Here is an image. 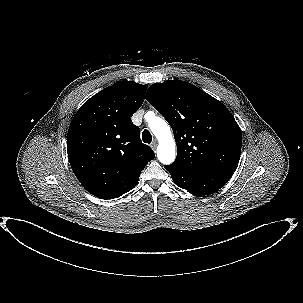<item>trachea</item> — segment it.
Listing matches in <instances>:
<instances>
[{
	"label": "trachea",
	"instance_id": "3493384b",
	"mask_svg": "<svg viewBox=\"0 0 303 303\" xmlns=\"http://www.w3.org/2000/svg\"><path fill=\"white\" fill-rule=\"evenodd\" d=\"M142 140L144 143H147V144H150L152 142V135L148 130L143 131Z\"/></svg>",
	"mask_w": 303,
	"mask_h": 303
}]
</instances>
